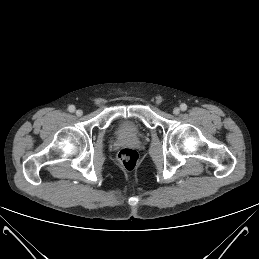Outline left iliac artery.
I'll list each match as a JSON object with an SVG mask.
<instances>
[{"mask_svg":"<svg viewBox=\"0 0 259 259\" xmlns=\"http://www.w3.org/2000/svg\"><path fill=\"white\" fill-rule=\"evenodd\" d=\"M180 108H181L182 111H185V110H187V105L185 103H182L180 105Z\"/></svg>","mask_w":259,"mask_h":259,"instance_id":"1","label":"left iliac artery"}]
</instances>
